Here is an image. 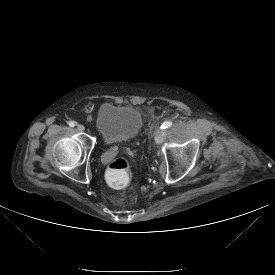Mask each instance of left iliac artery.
Returning <instances> with one entry per match:
<instances>
[{"instance_id":"obj_1","label":"left iliac artery","mask_w":275,"mask_h":275,"mask_svg":"<svg viewBox=\"0 0 275 275\" xmlns=\"http://www.w3.org/2000/svg\"><path fill=\"white\" fill-rule=\"evenodd\" d=\"M171 126H172V122H171V121H165V122L162 124L161 128H162V129H166V128H169V127H171Z\"/></svg>"}]
</instances>
